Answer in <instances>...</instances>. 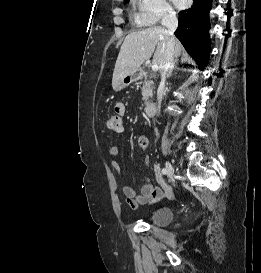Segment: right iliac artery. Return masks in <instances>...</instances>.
I'll list each match as a JSON object with an SVG mask.
<instances>
[{
  "label": "right iliac artery",
  "instance_id": "obj_1",
  "mask_svg": "<svg viewBox=\"0 0 261 273\" xmlns=\"http://www.w3.org/2000/svg\"><path fill=\"white\" fill-rule=\"evenodd\" d=\"M162 173L166 174V169L165 168L162 169Z\"/></svg>",
  "mask_w": 261,
  "mask_h": 273
}]
</instances>
